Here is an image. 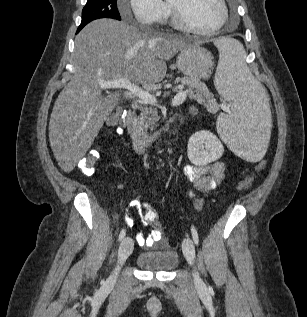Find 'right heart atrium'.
Instances as JSON below:
<instances>
[{
	"label": "right heart atrium",
	"instance_id": "obj_1",
	"mask_svg": "<svg viewBox=\"0 0 307 317\" xmlns=\"http://www.w3.org/2000/svg\"><path fill=\"white\" fill-rule=\"evenodd\" d=\"M128 3L129 7L120 6L122 17L131 15L142 26L159 24L168 16V7L162 0H128Z\"/></svg>",
	"mask_w": 307,
	"mask_h": 317
}]
</instances>
